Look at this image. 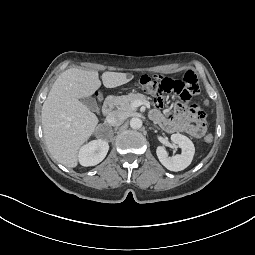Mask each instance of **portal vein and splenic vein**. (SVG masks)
Returning <instances> with one entry per match:
<instances>
[{
  "instance_id": "18ae733b",
  "label": "portal vein and splenic vein",
  "mask_w": 255,
  "mask_h": 255,
  "mask_svg": "<svg viewBox=\"0 0 255 255\" xmlns=\"http://www.w3.org/2000/svg\"><path fill=\"white\" fill-rule=\"evenodd\" d=\"M143 104H144L143 102H141L139 100H136V101L133 102L132 106L136 108V107H139V106H141Z\"/></svg>"
}]
</instances>
